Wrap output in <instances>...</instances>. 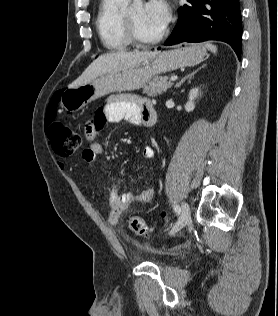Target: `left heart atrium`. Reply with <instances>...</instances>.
Here are the masks:
<instances>
[{"label": "left heart atrium", "instance_id": "39dd6f15", "mask_svg": "<svg viewBox=\"0 0 278 316\" xmlns=\"http://www.w3.org/2000/svg\"><path fill=\"white\" fill-rule=\"evenodd\" d=\"M147 18L155 25L165 28L171 19V8L166 0H149L145 6Z\"/></svg>", "mask_w": 278, "mask_h": 316}]
</instances>
